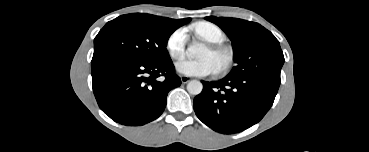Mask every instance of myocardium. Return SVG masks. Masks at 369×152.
I'll use <instances>...</instances> for the list:
<instances>
[{
	"label": "myocardium",
	"instance_id": "obj_1",
	"mask_svg": "<svg viewBox=\"0 0 369 152\" xmlns=\"http://www.w3.org/2000/svg\"><path fill=\"white\" fill-rule=\"evenodd\" d=\"M211 51L213 55L218 58L219 61L217 72L223 73L227 71L232 64L233 60L232 51L228 47L221 45H212Z\"/></svg>",
	"mask_w": 369,
	"mask_h": 152
}]
</instances>
